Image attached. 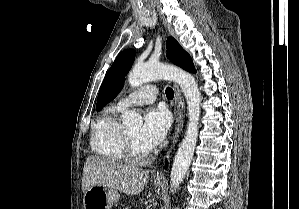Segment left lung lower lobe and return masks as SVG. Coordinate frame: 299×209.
Segmentation results:
<instances>
[{
    "label": "left lung lower lobe",
    "mask_w": 299,
    "mask_h": 209,
    "mask_svg": "<svg viewBox=\"0 0 299 209\" xmlns=\"http://www.w3.org/2000/svg\"><path fill=\"white\" fill-rule=\"evenodd\" d=\"M192 72H194V73H195V72H196V71H195V69H194Z\"/></svg>",
    "instance_id": "obj_1"
}]
</instances>
